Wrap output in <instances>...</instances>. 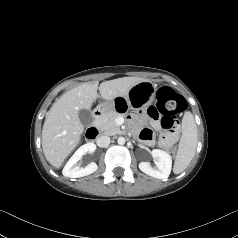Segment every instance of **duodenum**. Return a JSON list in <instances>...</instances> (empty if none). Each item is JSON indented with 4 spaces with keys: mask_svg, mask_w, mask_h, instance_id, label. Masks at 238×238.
<instances>
[{
    "mask_svg": "<svg viewBox=\"0 0 238 238\" xmlns=\"http://www.w3.org/2000/svg\"><path fill=\"white\" fill-rule=\"evenodd\" d=\"M105 111L103 108H99L94 112V119L95 121H98L100 118L103 117ZM98 129L95 125H92L88 128L86 131V136L88 139H95L98 136Z\"/></svg>",
    "mask_w": 238,
    "mask_h": 238,
    "instance_id": "410a0bca",
    "label": "duodenum"
}]
</instances>
